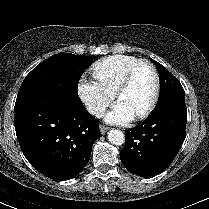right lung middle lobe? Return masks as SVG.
Here are the masks:
<instances>
[{"label": "right lung middle lobe", "instance_id": "1", "mask_svg": "<svg viewBox=\"0 0 209 209\" xmlns=\"http://www.w3.org/2000/svg\"><path fill=\"white\" fill-rule=\"evenodd\" d=\"M92 60V56L70 53H59L49 57L26 76L17 99L39 87L56 85L55 83L77 92L79 79Z\"/></svg>", "mask_w": 209, "mask_h": 209}]
</instances>
